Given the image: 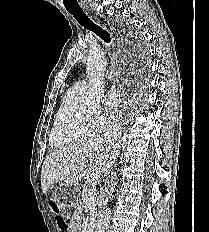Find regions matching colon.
Returning <instances> with one entry per match:
<instances>
[{
	"mask_svg": "<svg viewBox=\"0 0 209 232\" xmlns=\"http://www.w3.org/2000/svg\"><path fill=\"white\" fill-rule=\"evenodd\" d=\"M48 206H53L52 210L57 212V222L58 225L60 226L61 229H64L67 227V225L70 223V215L68 212H60L59 207L55 206L56 202L55 201H48L47 202Z\"/></svg>",
	"mask_w": 209,
	"mask_h": 232,
	"instance_id": "1",
	"label": "colon"
}]
</instances>
